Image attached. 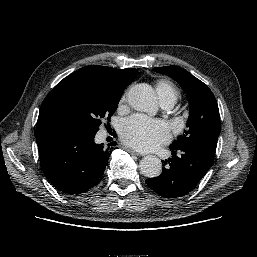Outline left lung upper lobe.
Masks as SVG:
<instances>
[{"instance_id": "1", "label": "left lung upper lobe", "mask_w": 257, "mask_h": 257, "mask_svg": "<svg viewBox=\"0 0 257 257\" xmlns=\"http://www.w3.org/2000/svg\"><path fill=\"white\" fill-rule=\"evenodd\" d=\"M154 71L177 81L186 92L190 104L188 129L171 146L201 145L215 151L221 125L217 101L209 87L177 66L156 67Z\"/></svg>"}]
</instances>
